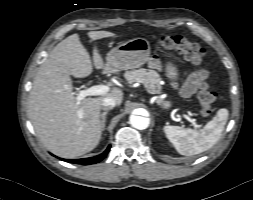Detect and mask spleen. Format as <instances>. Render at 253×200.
<instances>
[{"label": "spleen", "mask_w": 253, "mask_h": 200, "mask_svg": "<svg viewBox=\"0 0 253 200\" xmlns=\"http://www.w3.org/2000/svg\"><path fill=\"white\" fill-rule=\"evenodd\" d=\"M228 116V110L222 108L219 109L215 117L200 130L167 125L164 127V132L180 154L191 156L207 151L218 142Z\"/></svg>", "instance_id": "3e777b00"}]
</instances>
